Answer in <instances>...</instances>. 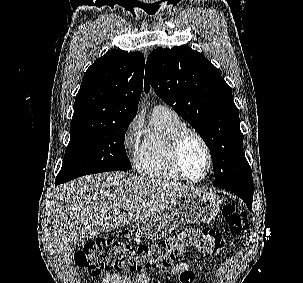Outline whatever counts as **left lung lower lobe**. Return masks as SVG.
Segmentation results:
<instances>
[{
    "label": "left lung lower lobe",
    "instance_id": "left-lung-lower-lobe-1",
    "mask_svg": "<svg viewBox=\"0 0 303 283\" xmlns=\"http://www.w3.org/2000/svg\"><path fill=\"white\" fill-rule=\"evenodd\" d=\"M222 189H227L237 194L246 203L248 209L251 211L254 189L237 188V187H223Z\"/></svg>",
    "mask_w": 303,
    "mask_h": 283
}]
</instances>
